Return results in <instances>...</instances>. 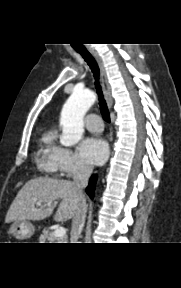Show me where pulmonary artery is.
I'll use <instances>...</instances> for the list:
<instances>
[{"mask_svg":"<svg viewBox=\"0 0 181 288\" xmlns=\"http://www.w3.org/2000/svg\"><path fill=\"white\" fill-rule=\"evenodd\" d=\"M86 128L94 133L102 131L103 124L100 116L96 113H90L86 117Z\"/></svg>","mask_w":181,"mask_h":288,"instance_id":"e3ab8cb5","label":"pulmonary artery"}]
</instances>
